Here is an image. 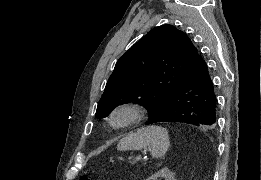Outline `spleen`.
<instances>
[{
  "mask_svg": "<svg viewBox=\"0 0 261 180\" xmlns=\"http://www.w3.org/2000/svg\"><path fill=\"white\" fill-rule=\"evenodd\" d=\"M149 148L152 158H163L169 148V136L166 128L161 126H147L137 130L135 134H128L120 140L117 150H143Z\"/></svg>",
  "mask_w": 261,
  "mask_h": 180,
  "instance_id": "obj_1",
  "label": "spleen"
}]
</instances>
